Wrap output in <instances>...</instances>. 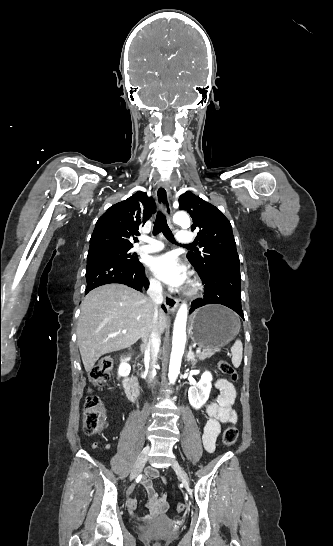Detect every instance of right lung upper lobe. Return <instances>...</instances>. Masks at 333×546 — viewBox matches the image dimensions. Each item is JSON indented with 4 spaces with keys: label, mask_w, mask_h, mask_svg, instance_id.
Masks as SVG:
<instances>
[{
    "label": "right lung upper lobe",
    "mask_w": 333,
    "mask_h": 546,
    "mask_svg": "<svg viewBox=\"0 0 333 546\" xmlns=\"http://www.w3.org/2000/svg\"><path fill=\"white\" fill-rule=\"evenodd\" d=\"M156 211L154 199L138 191L128 199L112 205L96 222L89 252L104 247H133L139 227Z\"/></svg>",
    "instance_id": "1"
}]
</instances>
